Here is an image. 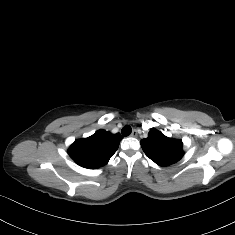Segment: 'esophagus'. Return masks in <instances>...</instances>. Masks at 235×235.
Returning a JSON list of instances; mask_svg holds the SVG:
<instances>
[{"instance_id":"34e87169","label":"esophagus","mask_w":235,"mask_h":235,"mask_svg":"<svg viewBox=\"0 0 235 235\" xmlns=\"http://www.w3.org/2000/svg\"><path fill=\"white\" fill-rule=\"evenodd\" d=\"M138 133H137V130L134 129L132 132H131V137H137Z\"/></svg>"}]
</instances>
